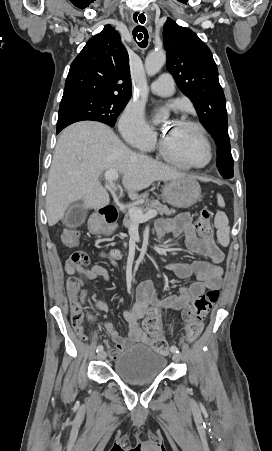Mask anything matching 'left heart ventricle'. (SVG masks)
<instances>
[{
  "label": "left heart ventricle",
  "mask_w": 272,
  "mask_h": 451,
  "mask_svg": "<svg viewBox=\"0 0 272 451\" xmlns=\"http://www.w3.org/2000/svg\"><path fill=\"white\" fill-rule=\"evenodd\" d=\"M169 125L172 130L167 133L166 140L175 155L186 163H204L206 153L196 131L177 121H171Z\"/></svg>",
  "instance_id": "b2bd125f"
}]
</instances>
